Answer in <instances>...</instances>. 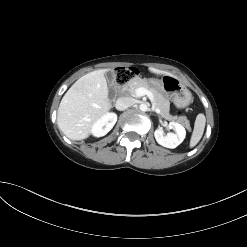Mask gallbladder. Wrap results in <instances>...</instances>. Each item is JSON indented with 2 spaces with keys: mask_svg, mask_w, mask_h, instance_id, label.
Segmentation results:
<instances>
[{
  "mask_svg": "<svg viewBox=\"0 0 247 247\" xmlns=\"http://www.w3.org/2000/svg\"><path fill=\"white\" fill-rule=\"evenodd\" d=\"M105 78L109 84V87L112 88L114 79H115V74L112 70H108L105 72Z\"/></svg>",
  "mask_w": 247,
  "mask_h": 247,
  "instance_id": "1",
  "label": "gallbladder"
}]
</instances>
